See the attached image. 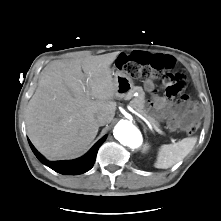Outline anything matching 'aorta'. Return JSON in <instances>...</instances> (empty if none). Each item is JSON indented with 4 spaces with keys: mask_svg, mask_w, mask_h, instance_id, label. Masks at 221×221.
I'll return each instance as SVG.
<instances>
[{
    "mask_svg": "<svg viewBox=\"0 0 221 221\" xmlns=\"http://www.w3.org/2000/svg\"><path fill=\"white\" fill-rule=\"evenodd\" d=\"M114 137L123 145L138 148L142 144L141 132L129 121L121 120L114 128Z\"/></svg>",
    "mask_w": 221,
    "mask_h": 221,
    "instance_id": "aorta-1",
    "label": "aorta"
}]
</instances>
